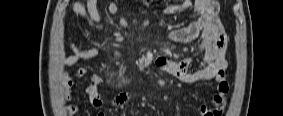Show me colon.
I'll list each match as a JSON object with an SVG mask.
<instances>
[{
    "mask_svg": "<svg viewBox=\"0 0 283 116\" xmlns=\"http://www.w3.org/2000/svg\"><path fill=\"white\" fill-rule=\"evenodd\" d=\"M223 109H224V106L220 107L219 111H218V112H216V113H215V115H219V114H221V112L223 111Z\"/></svg>",
    "mask_w": 283,
    "mask_h": 116,
    "instance_id": "colon-1",
    "label": "colon"
}]
</instances>
